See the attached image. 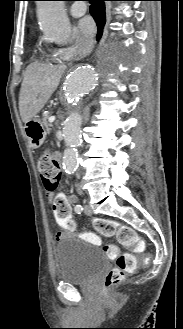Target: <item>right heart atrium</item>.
I'll return each instance as SVG.
<instances>
[{
  "label": "right heart atrium",
  "mask_w": 183,
  "mask_h": 329,
  "mask_svg": "<svg viewBox=\"0 0 183 329\" xmlns=\"http://www.w3.org/2000/svg\"><path fill=\"white\" fill-rule=\"evenodd\" d=\"M90 43L88 40L81 38L76 32H73L71 44L61 47L56 51V57L60 59L72 58L79 48H88Z\"/></svg>",
  "instance_id": "d8ad5b80"
}]
</instances>
